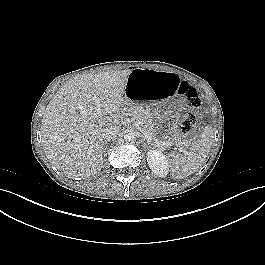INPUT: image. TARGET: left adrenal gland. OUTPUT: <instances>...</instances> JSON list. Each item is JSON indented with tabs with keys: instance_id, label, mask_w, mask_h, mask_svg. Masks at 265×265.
I'll return each instance as SVG.
<instances>
[{
	"instance_id": "1",
	"label": "left adrenal gland",
	"mask_w": 265,
	"mask_h": 265,
	"mask_svg": "<svg viewBox=\"0 0 265 265\" xmlns=\"http://www.w3.org/2000/svg\"><path fill=\"white\" fill-rule=\"evenodd\" d=\"M141 137H142V139H143L142 146H144V147H145V145H146V143H145V139H144V137H143V136H141Z\"/></svg>"
}]
</instances>
